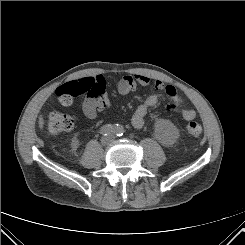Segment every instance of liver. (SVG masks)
I'll return each mask as SVG.
<instances>
[{"label":"liver","instance_id":"obj_1","mask_svg":"<svg viewBox=\"0 0 245 245\" xmlns=\"http://www.w3.org/2000/svg\"><path fill=\"white\" fill-rule=\"evenodd\" d=\"M38 123H39V128L42 129L43 128V124H44L42 116L39 117Z\"/></svg>","mask_w":245,"mask_h":245}]
</instances>
